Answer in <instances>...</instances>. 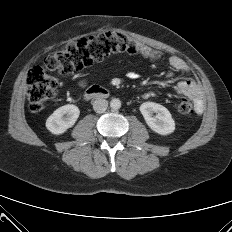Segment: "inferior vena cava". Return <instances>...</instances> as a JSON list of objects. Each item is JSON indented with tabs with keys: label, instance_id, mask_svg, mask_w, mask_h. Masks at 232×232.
<instances>
[{
	"label": "inferior vena cava",
	"instance_id": "602c4592",
	"mask_svg": "<svg viewBox=\"0 0 232 232\" xmlns=\"http://www.w3.org/2000/svg\"><path fill=\"white\" fill-rule=\"evenodd\" d=\"M108 107V102L105 99H97L93 102V109L97 113H103Z\"/></svg>",
	"mask_w": 232,
	"mask_h": 232
}]
</instances>
